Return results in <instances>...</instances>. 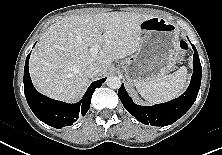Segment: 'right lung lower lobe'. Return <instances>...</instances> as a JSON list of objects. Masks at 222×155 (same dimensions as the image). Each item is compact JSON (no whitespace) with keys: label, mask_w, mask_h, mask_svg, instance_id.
<instances>
[{"label":"right lung lower lobe","mask_w":222,"mask_h":155,"mask_svg":"<svg viewBox=\"0 0 222 155\" xmlns=\"http://www.w3.org/2000/svg\"><path fill=\"white\" fill-rule=\"evenodd\" d=\"M29 57L30 54L26 58L24 68V92L28 105L37 118L47 125L61 129L72 125L79 116H84L89 110L95 88H99L106 78L93 82L78 103L67 104L48 98L34 88L28 70Z\"/></svg>","instance_id":"obj_1"}]
</instances>
